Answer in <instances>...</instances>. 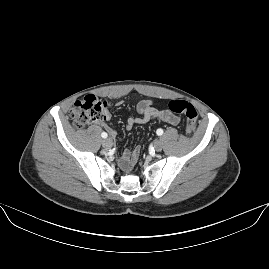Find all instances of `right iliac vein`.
<instances>
[{
    "instance_id": "right-iliac-vein-1",
    "label": "right iliac vein",
    "mask_w": 269,
    "mask_h": 269,
    "mask_svg": "<svg viewBox=\"0 0 269 269\" xmlns=\"http://www.w3.org/2000/svg\"><path fill=\"white\" fill-rule=\"evenodd\" d=\"M102 145L104 148L108 149L112 147V140L111 138H106L102 141Z\"/></svg>"
}]
</instances>
